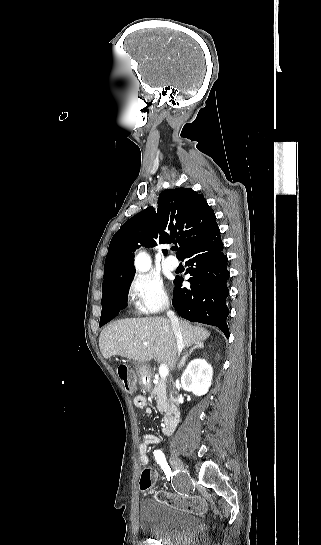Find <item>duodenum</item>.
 I'll return each mask as SVG.
<instances>
[{"label":"duodenum","instance_id":"obj_1","mask_svg":"<svg viewBox=\"0 0 321 545\" xmlns=\"http://www.w3.org/2000/svg\"><path fill=\"white\" fill-rule=\"evenodd\" d=\"M180 420V409L176 404H172L166 411L162 423V432L165 435H170L175 430Z\"/></svg>","mask_w":321,"mask_h":545}]
</instances>
